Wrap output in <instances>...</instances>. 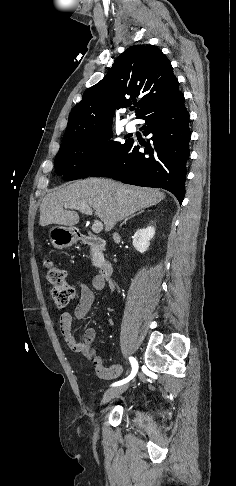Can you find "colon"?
<instances>
[{"label":"colon","mask_w":236,"mask_h":486,"mask_svg":"<svg viewBox=\"0 0 236 486\" xmlns=\"http://www.w3.org/2000/svg\"><path fill=\"white\" fill-rule=\"evenodd\" d=\"M44 267L55 306L59 309L67 307L73 299L74 289L66 282V272L54 265L51 260H45Z\"/></svg>","instance_id":"5ec220e1"}]
</instances>
